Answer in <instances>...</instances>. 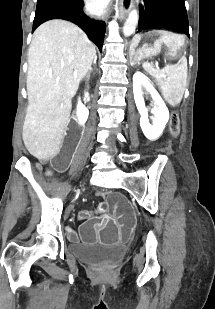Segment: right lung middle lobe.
<instances>
[{
	"label": "right lung middle lobe",
	"instance_id": "1",
	"mask_svg": "<svg viewBox=\"0 0 215 309\" xmlns=\"http://www.w3.org/2000/svg\"><path fill=\"white\" fill-rule=\"evenodd\" d=\"M50 6L75 8L83 6V2L81 0H37L36 12Z\"/></svg>",
	"mask_w": 215,
	"mask_h": 309
}]
</instances>
